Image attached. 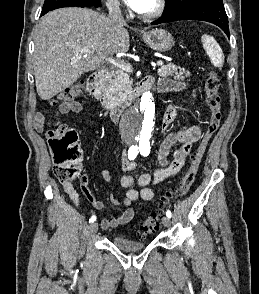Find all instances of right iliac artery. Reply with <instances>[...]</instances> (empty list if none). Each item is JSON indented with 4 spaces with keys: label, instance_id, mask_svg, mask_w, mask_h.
I'll return each mask as SVG.
<instances>
[{
    "label": "right iliac artery",
    "instance_id": "obj_1",
    "mask_svg": "<svg viewBox=\"0 0 259 294\" xmlns=\"http://www.w3.org/2000/svg\"><path fill=\"white\" fill-rule=\"evenodd\" d=\"M138 154V147L137 145H132L128 150V158L130 160H134ZM96 220V216H92L89 220V223H93Z\"/></svg>",
    "mask_w": 259,
    "mask_h": 294
}]
</instances>
